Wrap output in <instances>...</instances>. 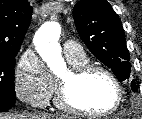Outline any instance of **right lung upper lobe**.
<instances>
[{
	"label": "right lung upper lobe",
	"mask_w": 142,
	"mask_h": 119,
	"mask_svg": "<svg viewBox=\"0 0 142 119\" xmlns=\"http://www.w3.org/2000/svg\"><path fill=\"white\" fill-rule=\"evenodd\" d=\"M31 16L27 0H0V53L20 50Z\"/></svg>",
	"instance_id": "obj_1"
}]
</instances>
